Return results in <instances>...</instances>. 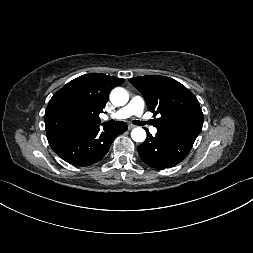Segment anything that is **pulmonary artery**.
I'll return each instance as SVG.
<instances>
[{"instance_id": "e3ab8cb5", "label": "pulmonary artery", "mask_w": 253, "mask_h": 253, "mask_svg": "<svg viewBox=\"0 0 253 253\" xmlns=\"http://www.w3.org/2000/svg\"><path fill=\"white\" fill-rule=\"evenodd\" d=\"M144 106H145L144 100L139 96H134L126 106L122 107L114 114L106 115L104 119L108 118L126 119L131 116H137L141 118L142 122L145 125H147L149 122L145 119L143 115ZM150 130L153 134L157 132V129L154 127H150Z\"/></svg>"}]
</instances>
